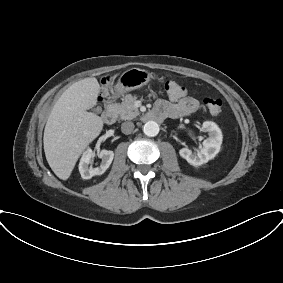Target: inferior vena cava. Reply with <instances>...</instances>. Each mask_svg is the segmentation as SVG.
Returning a JSON list of instances; mask_svg holds the SVG:
<instances>
[{"label":"inferior vena cava","instance_id":"602c4592","mask_svg":"<svg viewBox=\"0 0 283 283\" xmlns=\"http://www.w3.org/2000/svg\"><path fill=\"white\" fill-rule=\"evenodd\" d=\"M135 128V125L131 121H126L121 124V130L124 134H131Z\"/></svg>","mask_w":283,"mask_h":283}]
</instances>
